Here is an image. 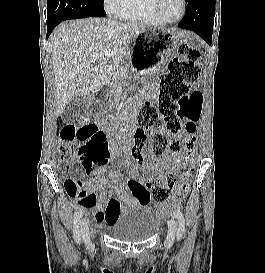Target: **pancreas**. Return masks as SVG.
Masks as SVG:
<instances>
[{
    "instance_id": "cf45deb5",
    "label": "pancreas",
    "mask_w": 265,
    "mask_h": 273,
    "mask_svg": "<svg viewBox=\"0 0 265 273\" xmlns=\"http://www.w3.org/2000/svg\"><path fill=\"white\" fill-rule=\"evenodd\" d=\"M131 75V66L126 63L124 66H120L114 73L112 82H111V90L114 92L118 87H121L126 79Z\"/></svg>"
}]
</instances>
